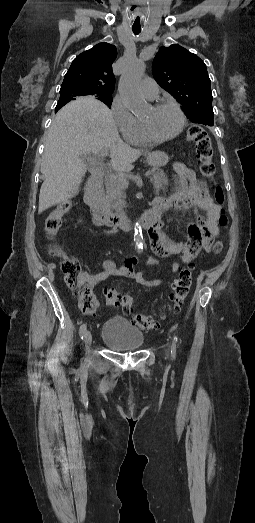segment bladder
I'll use <instances>...</instances> for the list:
<instances>
[{
	"label": "bladder",
	"mask_w": 255,
	"mask_h": 523,
	"mask_svg": "<svg viewBox=\"0 0 255 523\" xmlns=\"http://www.w3.org/2000/svg\"><path fill=\"white\" fill-rule=\"evenodd\" d=\"M101 340L111 347L133 351L144 344L145 338L127 319H108L103 325Z\"/></svg>",
	"instance_id": "1"
}]
</instances>
